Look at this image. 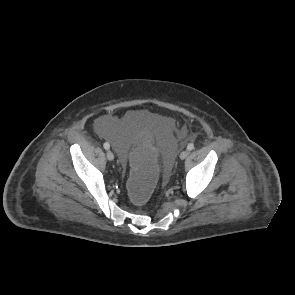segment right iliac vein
Returning <instances> with one entry per match:
<instances>
[{
  "label": "right iliac vein",
  "mask_w": 295,
  "mask_h": 295,
  "mask_svg": "<svg viewBox=\"0 0 295 295\" xmlns=\"http://www.w3.org/2000/svg\"><path fill=\"white\" fill-rule=\"evenodd\" d=\"M106 155L108 160L112 161L114 159V154L110 150L107 151Z\"/></svg>",
  "instance_id": "obj_1"
}]
</instances>
